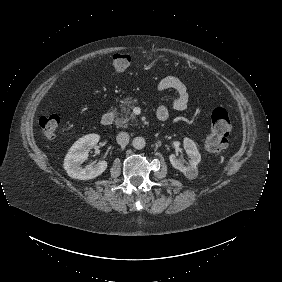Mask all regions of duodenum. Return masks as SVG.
I'll use <instances>...</instances> for the list:
<instances>
[{
	"instance_id": "obj_1",
	"label": "duodenum",
	"mask_w": 282,
	"mask_h": 282,
	"mask_svg": "<svg viewBox=\"0 0 282 282\" xmlns=\"http://www.w3.org/2000/svg\"><path fill=\"white\" fill-rule=\"evenodd\" d=\"M114 119H115V112L109 111L105 115H103L100 123L103 127H107L113 123Z\"/></svg>"
}]
</instances>
